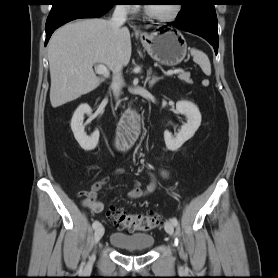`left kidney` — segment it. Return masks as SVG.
I'll return each instance as SVG.
<instances>
[{
  "label": "left kidney",
  "instance_id": "obj_1",
  "mask_svg": "<svg viewBox=\"0 0 278 278\" xmlns=\"http://www.w3.org/2000/svg\"><path fill=\"white\" fill-rule=\"evenodd\" d=\"M176 112L183 114L187 122L181 127L175 137L169 131L164 132V140L168 150H178L197 131L201 124V114L198 107L190 101H178Z\"/></svg>",
  "mask_w": 278,
  "mask_h": 278
}]
</instances>
